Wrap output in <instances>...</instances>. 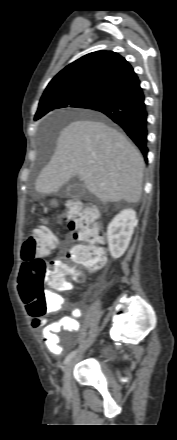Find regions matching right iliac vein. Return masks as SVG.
<instances>
[{
    "instance_id": "1",
    "label": "right iliac vein",
    "mask_w": 177,
    "mask_h": 440,
    "mask_svg": "<svg viewBox=\"0 0 177 440\" xmlns=\"http://www.w3.org/2000/svg\"><path fill=\"white\" fill-rule=\"evenodd\" d=\"M75 363V360H70L65 368H64V374H63V389L65 392H68L71 388V374L73 365Z\"/></svg>"
}]
</instances>
